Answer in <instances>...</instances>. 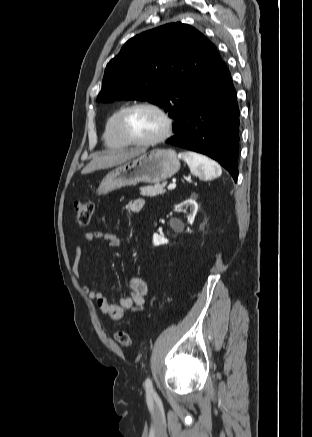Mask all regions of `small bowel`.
I'll list each match as a JSON object with an SVG mask.
<instances>
[{
	"mask_svg": "<svg viewBox=\"0 0 312 437\" xmlns=\"http://www.w3.org/2000/svg\"><path fill=\"white\" fill-rule=\"evenodd\" d=\"M144 204L145 201L143 198H134L127 204V210L133 213L139 212L144 207ZM93 240H103L111 248H117L121 245V239L117 235L104 231L87 233L86 241L90 243ZM80 253L81 248L78 246L73 264V272L76 276H79ZM84 290L87 296L96 302L100 312L113 320L122 319L127 312L143 311L146 307L145 297L148 293V286L146 281L141 277H133L130 280V293L118 304L109 302L108 298L99 290H95L89 286H84Z\"/></svg>",
	"mask_w": 312,
	"mask_h": 437,
	"instance_id": "obj_1",
	"label": "small bowel"
}]
</instances>
